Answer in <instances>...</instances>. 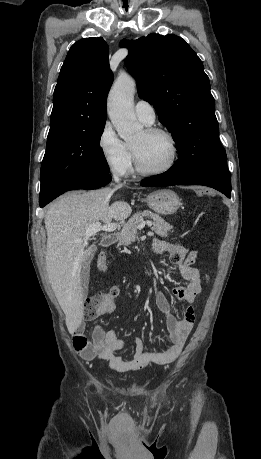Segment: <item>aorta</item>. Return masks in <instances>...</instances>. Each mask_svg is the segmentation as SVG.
<instances>
[{
	"label": "aorta",
	"instance_id": "obj_1",
	"mask_svg": "<svg viewBox=\"0 0 261 459\" xmlns=\"http://www.w3.org/2000/svg\"><path fill=\"white\" fill-rule=\"evenodd\" d=\"M135 91L134 80L122 74L108 95V115L118 135L125 141L137 137L143 130V125L137 121L134 113Z\"/></svg>",
	"mask_w": 261,
	"mask_h": 459
}]
</instances>
